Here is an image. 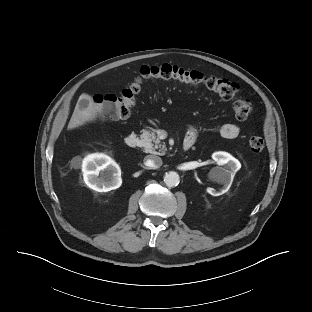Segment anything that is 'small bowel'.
<instances>
[{
    "instance_id": "1",
    "label": "small bowel",
    "mask_w": 312,
    "mask_h": 312,
    "mask_svg": "<svg viewBox=\"0 0 312 312\" xmlns=\"http://www.w3.org/2000/svg\"><path fill=\"white\" fill-rule=\"evenodd\" d=\"M220 134L225 139H235L240 134V128L234 123H225L220 129ZM197 135L196 127H189L184 142H190L193 145L197 139Z\"/></svg>"
}]
</instances>
